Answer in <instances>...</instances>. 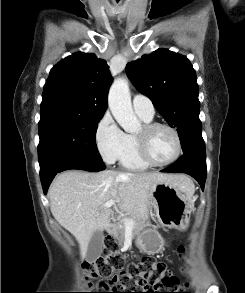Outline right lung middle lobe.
Segmentation results:
<instances>
[{"mask_svg": "<svg viewBox=\"0 0 245 293\" xmlns=\"http://www.w3.org/2000/svg\"><path fill=\"white\" fill-rule=\"evenodd\" d=\"M101 118L102 116L60 111L41 113L38 124L40 174L46 172L55 162L67 157L102 161L95 143Z\"/></svg>", "mask_w": 245, "mask_h": 293, "instance_id": "dd1d6c3e", "label": "right lung middle lobe"}]
</instances>
